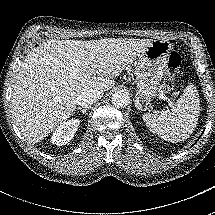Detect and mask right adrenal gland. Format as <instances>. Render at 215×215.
I'll return each instance as SVG.
<instances>
[{"label":"right adrenal gland","mask_w":215,"mask_h":215,"mask_svg":"<svg viewBox=\"0 0 215 215\" xmlns=\"http://www.w3.org/2000/svg\"><path fill=\"white\" fill-rule=\"evenodd\" d=\"M89 108L91 107H88V108L77 107V110H79L82 114H87V109Z\"/></svg>","instance_id":"obj_1"}]
</instances>
